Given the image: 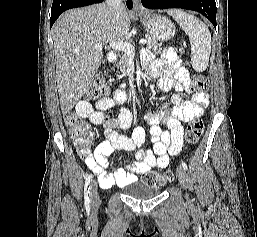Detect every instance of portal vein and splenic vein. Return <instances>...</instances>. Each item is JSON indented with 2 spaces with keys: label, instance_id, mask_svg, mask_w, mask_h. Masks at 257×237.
Returning <instances> with one entry per match:
<instances>
[{
  "label": "portal vein and splenic vein",
  "instance_id": "1",
  "mask_svg": "<svg viewBox=\"0 0 257 237\" xmlns=\"http://www.w3.org/2000/svg\"><path fill=\"white\" fill-rule=\"evenodd\" d=\"M146 40L142 39L140 40V44H146ZM109 47L116 51H124L128 54H134L135 49L132 44L130 43H124V42H112L109 44ZM94 48L97 50H102V43H96L94 45Z\"/></svg>",
  "mask_w": 257,
  "mask_h": 237
}]
</instances>
